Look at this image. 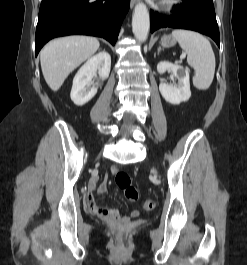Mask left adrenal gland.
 I'll use <instances>...</instances> for the list:
<instances>
[{
    "label": "left adrenal gland",
    "mask_w": 247,
    "mask_h": 265,
    "mask_svg": "<svg viewBox=\"0 0 247 265\" xmlns=\"http://www.w3.org/2000/svg\"><path fill=\"white\" fill-rule=\"evenodd\" d=\"M162 50V48L161 47H158V54L160 53V51Z\"/></svg>",
    "instance_id": "a2214340"
}]
</instances>
